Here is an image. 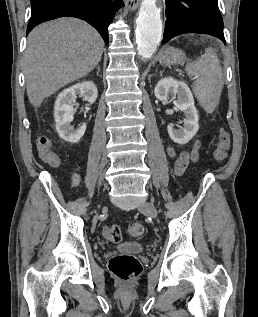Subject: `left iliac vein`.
Listing matches in <instances>:
<instances>
[{
    "label": "left iliac vein",
    "instance_id": "left-iliac-vein-1",
    "mask_svg": "<svg viewBox=\"0 0 258 317\" xmlns=\"http://www.w3.org/2000/svg\"><path fill=\"white\" fill-rule=\"evenodd\" d=\"M156 207L152 202L142 201V206L139 207L140 213H145L149 217L157 218Z\"/></svg>",
    "mask_w": 258,
    "mask_h": 317
}]
</instances>
